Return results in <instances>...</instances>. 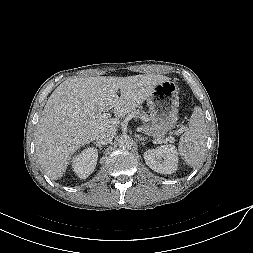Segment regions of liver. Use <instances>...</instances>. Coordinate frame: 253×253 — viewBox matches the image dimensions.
<instances>
[{
    "label": "liver",
    "instance_id": "6515ba94",
    "mask_svg": "<svg viewBox=\"0 0 253 253\" xmlns=\"http://www.w3.org/2000/svg\"><path fill=\"white\" fill-rule=\"evenodd\" d=\"M166 80L169 77L159 74H140L69 78L62 82L50 95L36 130L41 168L51 179H60L77 149L93 141L102 127L116 128L119 117L132 115ZM96 110H113L116 118L99 121Z\"/></svg>",
    "mask_w": 253,
    "mask_h": 253
}]
</instances>
